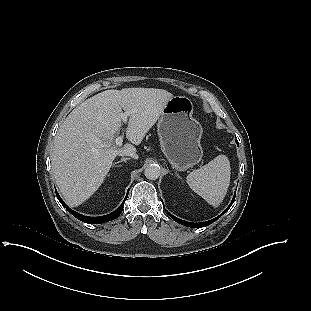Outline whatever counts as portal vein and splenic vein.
Listing matches in <instances>:
<instances>
[{
  "mask_svg": "<svg viewBox=\"0 0 311 311\" xmlns=\"http://www.w3.org/2000/svg\"><path fill=\"white\" fill-rule=\"evenodd\" d=\"M129 115V112H125L121 115V118L123 120V122H126L127 121V116ZM122 142H123V135H120L118 136L116 139H115V143H116V146H121L122 145Z\"/></svg>",
  "mask_w": 311,
  "mask_h": 311,
  "instance_id": "portal-vein-and-splenic-vein-1",
  "label": "portal vein and splenic vein"
}]
</instances>
